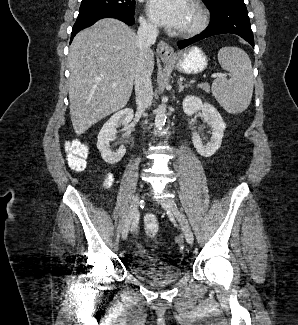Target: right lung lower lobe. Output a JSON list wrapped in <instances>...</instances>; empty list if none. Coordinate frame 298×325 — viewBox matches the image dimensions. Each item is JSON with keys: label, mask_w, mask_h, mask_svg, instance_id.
I'll use <instances>...</instances> for the list:
<instances>
[{"label": "right lung lower lobe", "mask_w": 298, "mask_h": 325, "mask_svg": "<svg viewBox=\"0 0 298 325\" xmlns=\"http://www.w3.org/2000/svg\"><path fill=\"white\" fill-rule=\"evenodd\" d=\"M105 17H112V18L119 19V20L123 21L124 23H126L127 25H133L135 22L134 15L122 13V12H118V11L101 12V13H96V14L83 16V17L78 16L77 20L73 26V29H72L71 40L74 38V36L79 31L93 25L99 19H102Z\"/></svg>", "instance_id": "obj_1"}]
</instances>
